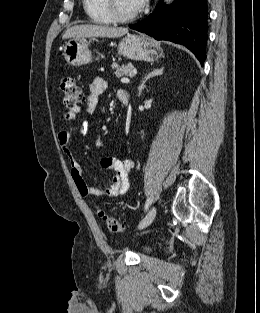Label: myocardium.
Segmentation results:
<instances>
[{
  "label": "myocardium",
  "instance_id": "f54148a6",
  "mask_svg": "<svg viewBox=\"0 0 260 313\" xmlns=\"http://www.w3.org/2000/svg\"><path fill=\"white\" fill-rule=\"evenodd\" d=\"M105 8L111 20L120 23L134 20L139 13L136 11L129 15H121L115 7V0H105Z\"/></svg>",
  "mask_w": 260,
  "mask_h": 313
}]
</instances>
